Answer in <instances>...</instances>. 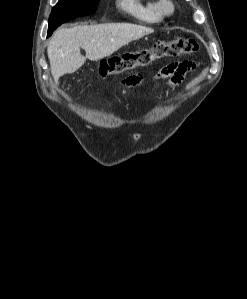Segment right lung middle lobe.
Returning <instances> with one entry per match:
<instances>
[{"instance_id":"dd1d6c3e","label":"right lung middle lobe","mask_w":247,"mask_h":299,"mask_svg":"<svg viewBox=\"0 0 247 299\" xmlns=\"http://www.w3.org/2000/svg\"><path fill=\"white\" fill-rule=\"evenodd\" d=\"M98 2L99 0H59L49 18L48 37L62 23L95 13Z\"/></svg>"}]
</instances>
